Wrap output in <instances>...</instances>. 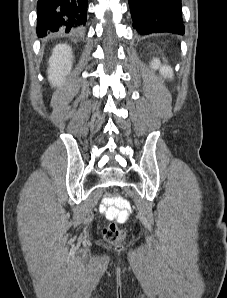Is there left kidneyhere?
Listing matches in <instances>:
<instances>
[{
    "mask_svg": "<svg viewBox=\"0 0 227 298\" xmlns=\"http://www.w3.org/2000/svg\"><path fill=\"white\" fill-rule=\"evenodd\" d=\"M151 66L153 69H159L162 75L165 78H173V70L170 66L166 64H161L160 60L158 58H154L151 62Z\"/></svg>",
    "mask_w": 227,
    "mask_h": 298,
    "instance_id": "5707ae66",
    "label": "left kidney"
}]
</instances>
